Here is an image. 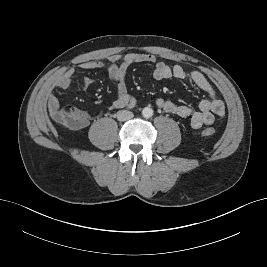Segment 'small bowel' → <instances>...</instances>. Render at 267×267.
<instances>
[{
  "label": "small bowel",
  "instance_id": "small-bowel-1",
  "mask_svg": "<svg viewBox=\"0 0 267 267\" xmlns=\"http://www.w3.org/2000/svg\"><path fill=\"white\" fill-rule=\"evenodd\" d=\"M135 63H152L154 64L153 74L157 80H189L195 87L205 92L208 96L207 99L200 102L197 109L188 105H179L164 98H158L156 105L162 111L179 118H189L190 125L193 129H199L204 125L212 124L216 117L219 119L224 117V103L200 71L195 70L187 73L180 65L169 66L164 62L158 61L153 54L142 52H130L123 55L112 54L104 58L82 62L79 67L84 70L106 67L109 77L116 83L115 98L110 105V109H121L132 108L136 104V99L128 92L125 81L127 69ZM74 78L75 69L70 68L55 79L54 87L62 90L73 89ZM92 83L93 79L86 77L78 88L86 90ZM47 101L50 115L53 118H57L61 109L56 97L52 93H49ZM74 111L81 119L79 128L86 127L89 123L87 113L78 109H74Z\"/></svg>",
  "mask_w": 267,
  "mask_h": 267
}]
</instances>
